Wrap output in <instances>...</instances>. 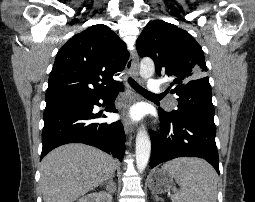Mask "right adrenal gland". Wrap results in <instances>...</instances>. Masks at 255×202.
<instances>
[{
    "label": "right adrenal gland",
    "instance_id": "1",
    "mask_svg": "<svg viewBox=\"0 0 255 202\" xmlns=\"http://www.w3.org/2000/svg\"><path fill=\"white\" fill-rule=\"evenodd\" d=\"M114 176L109 179V182L106 184V190L109 194H112L116 191V184L113 180ZM105 184L102 183L101 186H104Z\"/></svg>",
    "mask_w": 255,
    "mask_h": 202
}]
</instances>
